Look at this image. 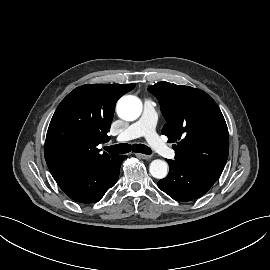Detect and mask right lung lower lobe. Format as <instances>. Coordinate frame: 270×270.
Returning <instances> with one entry per match:
<instances>
[{
  "instance_id": "right-lung-lower-lobe-1",
  "label": "right lung lower lobe",
  "mask_w": 270,
  "mask_h": 270,
  "mask_svg": "<svg viewBox=\"0 0 270 270\" xmlns=\"http://www.w3.org/2000/svg\"><path fill=\"white\" fill-rule=\"evenodd\" d=\"M125 158V155L113 156L84 172L58 180L57 184L74 201L97 202L116 184Z\"/></svg>"
}]
</instances>
